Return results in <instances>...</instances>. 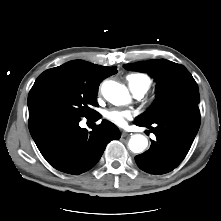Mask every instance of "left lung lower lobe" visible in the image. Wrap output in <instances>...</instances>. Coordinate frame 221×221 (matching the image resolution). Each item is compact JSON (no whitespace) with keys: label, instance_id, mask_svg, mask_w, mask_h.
<instances>
[{"label":"left lung lower lobe","instance_id":"left-lung-lower-lobe-1","mask_svg":"<svg viewBox=\"0 0 221 221\" xmlns=\"http://www.w3.org/2000/svg\"><path fill=\"white\" fill-rule=\"evenodd\" d=\"M138 126H147L157 140L150 149L135 157L140 169L150 174H164L176 168L187 155L200 126L198 117H172L156 121L155 127L135 120Z\"/></svg>","mask_w":221,"mask_h":221}]
</instances>
